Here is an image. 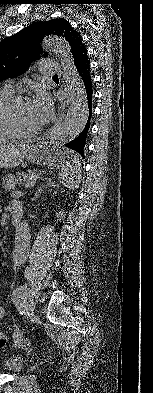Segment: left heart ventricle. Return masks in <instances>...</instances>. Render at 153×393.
<instances>
[{
	"label": "left heart ventricle",
	"instance_id": "left-heart-ventricle-1",
	"mask_svg": "<svg viewBox=\"0 0 153 393\" xmlns=\"http://www.w3.org/2000/svg\"><path fill=\"white\" fill-rule=\"evenodd\" d=\"M18 121L20 123V127L23 130H34L35 129L36 122L34 121V119L32 117L29 103H25L19 107Z\"/></svg>",
	"mask_w": 153,
	"mask_h": 393
}]
</instances>
